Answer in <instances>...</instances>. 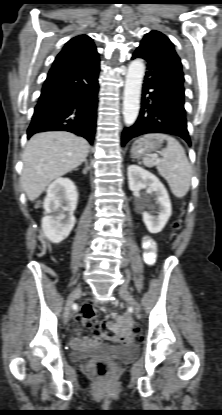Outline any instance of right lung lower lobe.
<instances>
[{"label": "right lung lower lobe", "instance_id": "98d812e1", "mask_svg": "<svg viewBox=\"0 0 222 415\" xmlns=\"http://www.w3.org/2000/svg\"><path fill=\"white\" fill-rule=\"evenodd\" d=\"M98 54L84 59H57L44 82L27 135L63 130L93 143L98 104Z\"/></svg>", "mask_w": 222, "mask_h": 415}]
</instances>
